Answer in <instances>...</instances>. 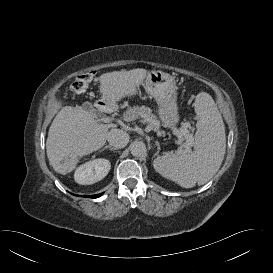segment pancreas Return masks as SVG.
Listing matches in <instances>:
<instances>
[{"mask_svg": "<svg viewBox=\"0 0 273 273\" xmlns=\"http://www.w3.org/2000/svg\"><path fill=\"white\" fill-rule=\"evenodd\" d=\"M124 119L126 121H133L139 117L143 119L144 122L149 123V126L154 129L155 131L159 130V121L157 117L152 114V110L146 106H133L129 107L124 115ZM190 128V127H189ZM187 131V132H185ZM179 133L183 136L184 140L189 143H193V135L189 132L187 126H183Z\"/></svg>", "mask_w": 273, "mask_h": 273, "instance_id": "pancreas-1", "label": "pancreas"}]
</instances>
